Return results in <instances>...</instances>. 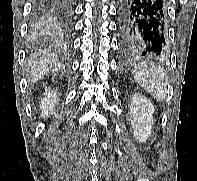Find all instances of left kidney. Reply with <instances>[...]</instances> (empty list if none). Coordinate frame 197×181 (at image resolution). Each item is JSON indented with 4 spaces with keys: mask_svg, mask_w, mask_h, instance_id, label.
Listing matches in <instances>:
<instances>
[{
    "mask_svg": "<svg viewBox=\"0 0 197 181\" xmlns=\"http://www.w3.org/2000/svg\"><path fill=\"white\" fill-rule=\"evenodd\" d=\"M154 106L149 99L141 94L135 93L130 104L129 120L136 140L146 142L152 133L154 124Z\"/></svg>",
    "mask_w": 197,
    "mask_h": 181,
    "instance_id": "1",
    "label": "left kidney"
}]
</instances>
